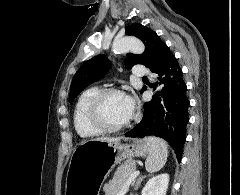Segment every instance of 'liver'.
<instances>
[{
  "label": "liver",
  "mask_w": 240,
  "mask_h": 195,
  "mask_svg": "<svg viewBox=\"0 0 240 195\" xmlns=\"http://www.w3.org/2000/svg\"><path fill=\"white\" fill-rule=\"evenodd\" d=\"M96 139H101V141H119L118 137H96Z\"/></svg>",
  "instance_id": "1"
}]
</instances>
